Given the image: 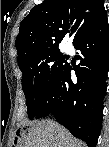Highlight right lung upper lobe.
<instances>
[{
	"instance_id": "cb5924a9",
	"label": "right lung upper lobe",
	"mask_w": 109,
	"mask_h": 147,
	"mask_svg": "<svg viewBox=\"0 0 109 147\" xmlns=\"http://www.w3.org/2000/svg\"><path fill=\"white\" fill-rule=\"evenodd\" d=\"M103 17H106L103 0H44L20 24L15 42L19 67L58 50L69 31L75 35V43Z\"/></svg>"
}]
</instances>
